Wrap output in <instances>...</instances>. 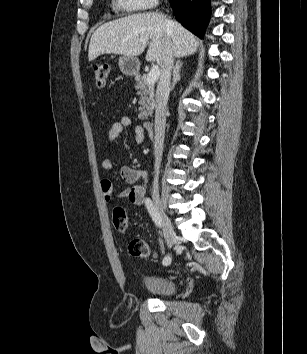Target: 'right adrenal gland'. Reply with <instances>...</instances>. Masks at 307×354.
I'll use <instances>...</instances> for the list:
<instances>
[{
    "mask_svg": "<svg viewBox=\"0 0 307 354\" xmlns=\"http://www.w3.org/2000/svg\"><path fill=\"white\" fill-rule=\"evenodd\" d=\"M182 62L180 60L176 61L175 66L173 67V79H172V86H171V90L174 89L175 84L177 83V81L180 80L181 76H180V69L182 67Z\"/></svg>",
    "mask_w": 307,
    "mask_h": 354,
    "instance_id": "right-adrenal-gland-1",
    "label": "right adrenal gland"
}]
</instances>
